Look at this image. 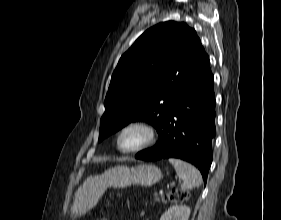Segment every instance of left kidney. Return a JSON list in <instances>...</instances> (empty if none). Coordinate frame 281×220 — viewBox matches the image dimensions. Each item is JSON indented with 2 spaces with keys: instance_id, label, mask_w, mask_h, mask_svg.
<instances>
[{
  "instance_id": "1",
  "label": "left kidney",
  "mask_w": 281,
  "mask_h": 220,
  "mask_svg": "<svg viewBox=\"0 0 281 220\" xmlns=\"http://www.w3.org/2000/svg\"><path fill=\"white\" fill-rule=\"evenodd\" d=\"M190 208L186 205L171 206L160 218V220H188Z\"/></svg>"
}]
</instances>
